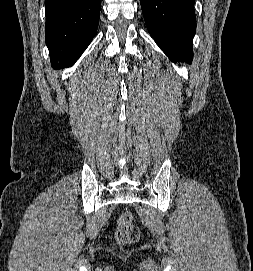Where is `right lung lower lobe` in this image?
Masks as SVG:
<instances>
[{
	"instance_id": "right-lung-lower-lobe-1",
	"label": "right lung lower lobe",
	"mask_w": 253,
	"mask_h": 271,
	"mask_svg": "<svg viewBox=\"0 0 253 271\" xmlns=\"http://www.w3.org/2000/svg\"><path fill=\"white\" fill-rule=\"evenodd\" d=\"M101 0H45V39L51 65H72L96 34Z\"/></svg>"
}]
</instances>
